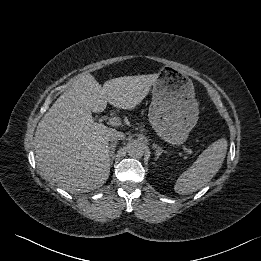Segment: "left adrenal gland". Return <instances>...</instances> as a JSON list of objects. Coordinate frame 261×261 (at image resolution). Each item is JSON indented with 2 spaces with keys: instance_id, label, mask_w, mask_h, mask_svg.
<instances>
[{
  "instance_id": "obj_1",
  "label": "left adrenal gland",
  "mask_w": 261,
  "mask_h": 261,
  "mask_svg": "<svg viewBox=\"0 0 261 261\" xmlns=\"http://www.w3.org/2000/svg\"><path fill=\"white\" fill-rule=\"evenodd\" d=\"M153 148L156 150V158H155L156 160L160 157V155L162 153H166V151L163 150L162 147H160V146H158L156 144L153 145Z\"/></svg>"
}]
</instances>
